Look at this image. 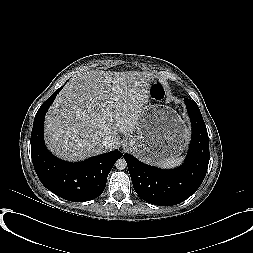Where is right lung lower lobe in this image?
<instances>
[{"label": "right lung lower lobe", "instance_id": "1", "mask_svg": "<svg viewBox=\"0 0 253 253\" xmlns=\"http://www.w3.org/2000/svg\"><path fill=\"white\" fill-rule=\"evenodd\" d=\"M62 88L57 89L35 115L31 134L32 162L38 178L48 190L69 201H90L102 194L107 176L122 153L111 151L70 163L56 158L47 150L43 140L44 117Z\"/></svg>", "mask_w": 253, "mask_h": 253}]
</instances>
